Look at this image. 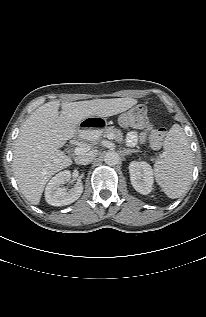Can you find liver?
<instances>
[{
    "label": "liver",
    "mask_w": 206,
    "mask_h": 317,
    "mask_svg": "<svg viewBox=\"0 0 206 317\" xmlns=\"http://www.w3.org/2000/svg\"><path fill=\"white\" fill-rule=\"evenodd\" d=\"M137 102L133 98L51 101L37 108L20 127L13 151V172L24 197L38 205L49 179L72 164L59 148L74 137L81 121L117 115Z\"/></svg>",
    "instance_id": "1"
}]
</instances>
